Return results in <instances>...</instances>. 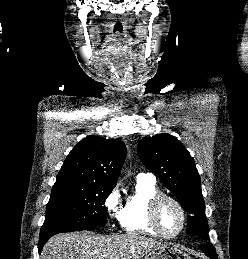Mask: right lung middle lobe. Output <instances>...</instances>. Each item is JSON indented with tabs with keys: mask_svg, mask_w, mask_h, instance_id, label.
I'll return each mask as SVG.
<instances>
[{
	"mask_svg": "<svg viewBox=\"0 0 248 259\" xmlns=\"http://www.w3.org/2000/svg\"><path fill=\"white\" fill-rule=\"evenodd\" d=\"M113 188L101 185L53 186L40 236L106 224L104 201Z\"/></svg>",
	"mask_w": 248,
	"mask_h": 259,
	"instance_id": "right-lung-middle-lobe-1",
	"label": "right lung middle lobe"
}]
</instances>
